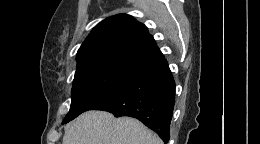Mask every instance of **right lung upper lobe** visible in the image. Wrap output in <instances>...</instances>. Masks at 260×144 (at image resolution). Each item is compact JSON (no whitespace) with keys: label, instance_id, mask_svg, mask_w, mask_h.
<instances>
[{"label":"right lung upper lobe","instance_id":"1","mask_svg":"<svg viewBox=\"0 0 260 144\" xmlns=\"http://www.w3.org/2000/svg\"><path fill=\"white\" fill-rule=\"evenodd\" d=\"M164 56L145 25L119 14L100 22L77 53V71L108 66L137 71Z\"/></svg>","mask_w":260,"mask_h":144}]
</instances>
